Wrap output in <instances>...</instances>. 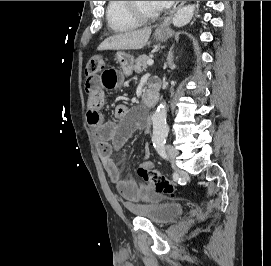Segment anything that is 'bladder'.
Wrapping results in <instances>:
<instances>
[{"instance_id": "1", "label": "bladder", "mask_w": 271, "mask_h": 266, "mask_svg": "<svg viewBox=\"0 0 271 266\" xmlns=\"http://www.w3.org/2000/svg\"><path fill=\"white\" fill-rule=\"evenodd\" d=\"M184 206L178 202L137 209V217L149 220L156 225H164L182 214Z\"/></svg>"}]
</instances>
